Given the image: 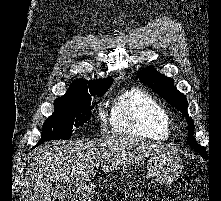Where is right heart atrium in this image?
Wrapping results in <instances>:
<instances>
[{
  "label": "right heart atrium",
  "mask_w": 221,
  "mask_h": 201,
  "mask_svg": "<svg viewBox=\"0 0 221 201\" xmlns=\"http://www.w3.org/2000/svg\"><path fill=\"white\" fill-rule=\"evenodd\" d=\"M99 119H100L101 125L105 127L107 123V118L103 110L99 111Z\"/></svg>",
  "instance_id": "1"
}]
</instances>
